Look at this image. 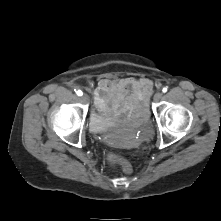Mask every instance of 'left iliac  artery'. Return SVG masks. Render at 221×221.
I'll list each match as a JSON object with an SVG mask.
<instances>
[{
  "label": "left iliac artery",
  "mask_w": 221,
  "mask_h": 221,
  "mask_svg": "<svg viewBox=\"0 0 221 221\" xmlns=\"http://www.w3.org/2000/svg\"><path fill=\"white\" fill-rule=\"evenodd\" d=\"M167 87H164L163 89H162V91L165 93V92H167Z\"/></svg>",
  "instance_id": "obj_1"
}]
</instances>
